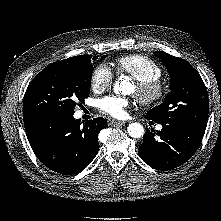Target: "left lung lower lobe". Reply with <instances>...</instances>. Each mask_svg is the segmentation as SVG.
<instances>
[{
	"instance_id": "1",
	"label": "left lung lower lobe",
	"mask_w": 221,
	"mask_h": 221,
	"mask_svg": "<svg viewBox=\"0 0 221 221\" xmlns=\"http://www.w3.org/2000/svg\"><path fill=\"white\" fill-rule=\"evenodd\" d=\"M150 120V119H148ZM147 130L138 149L141 159L157 170H170L187 162L198 149L205 130L188 125H163Z\"/></svg>"
}]
</instances>
